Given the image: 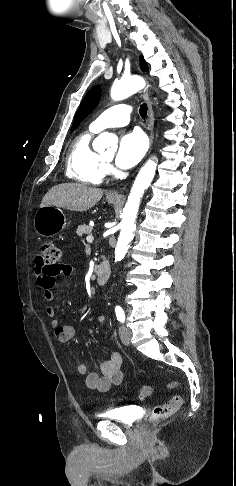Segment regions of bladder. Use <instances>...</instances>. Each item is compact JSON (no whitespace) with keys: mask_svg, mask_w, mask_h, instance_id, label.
Here are the masks:
<instances>
[{"mask_svg":"<svg viewBox=\"0 0 236 486\" xmlns=\"http://www.w3.org/2000/svg\"><path fill=\"white\" fill-rule=\"evenodd\" d=\"M102 419H107L126 425H132L136 421V409L132 406H122L100 413Z\"/></svg>","mask_w":236,"mask_h":486,"instance_id":"31cf9c89","label":"bladder"}]
</instances>
